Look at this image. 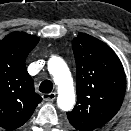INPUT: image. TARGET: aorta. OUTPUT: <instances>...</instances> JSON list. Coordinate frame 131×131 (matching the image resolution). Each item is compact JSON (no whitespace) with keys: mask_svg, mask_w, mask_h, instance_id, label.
<instances>
[{"mask_svg":"<svg viewBox=\"0 0 131 131\" xmlns=\"http://www.w3.org/2000/svg\"><path fill=\"white\" fill-rule=\"evenodd\" d=\"M48 71L58 87V107L63 111L71 110L75 104V93L69 68L63 59L53 56L48 61Z\"/></svg>","mask_w":131,"mask_h":131,"instance_id":"aorta-1","label":"aorta"}]
</instances>
